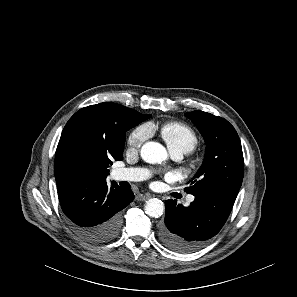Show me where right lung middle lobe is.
<instances>
[{
	"instance_id": "obj_1",
	"label": "right lung middle lobe",
	"mask_w": 297,
	"mask_h": 297,
	"mask_svg": "<svg viewBox=\"0 0 297 297\" xmlns=\"http://www.w3.org/2000/svg\"><path fill=\"white\" fill-rule=\"evenodd\" d=\"M151 115L147 114L145 116L139 114L137 111L133 110L132 112L127 114V131L139 123L147 120Z\"/></svg>"
}]
</instances>
